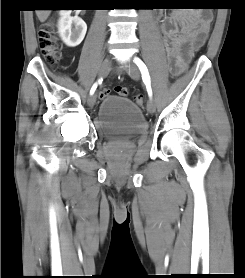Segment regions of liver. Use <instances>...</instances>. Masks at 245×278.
Here are the masks:
<instances>
[{"label": "liver", "instance_id": "6515ba94", "mask_svg": "<svg viewBox=\"0 0 245 278\" xmlns=\"http://www.w3.org/2000/svg\"><path fill=\"white\" fill-rule=\"evenodd\" d=\"M51 13V10H37L36 11V15L38 17V19L40 20V22H45L47 20V18L49 17Z\"/></svg>", "mask_w": 245, "mask_h": 278}]
</instances>
